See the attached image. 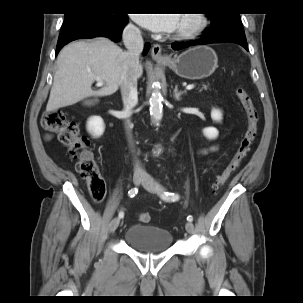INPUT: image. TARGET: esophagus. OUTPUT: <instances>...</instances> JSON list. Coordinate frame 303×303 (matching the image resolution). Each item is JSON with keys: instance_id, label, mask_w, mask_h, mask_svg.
Returning a JSON list of instances; mask_svg holds the SVG:
<instances>
[{"instance_id": "esophagus-1", "label": "esophagus", "mask_w": 303, "mask_h": 303, "mask_svg": "<svg viewBox=\"0 0 303 303\" xmlns=\"http://www.w3.org/2000/svg\"><path fill=\"white\" fill-rule=\"evenodd\" d=\"M151 56L156 61H165L169 58L162 53V48L159 44H153L151 49Z\"/></svg>"}]
</instances>
